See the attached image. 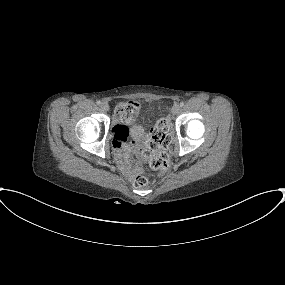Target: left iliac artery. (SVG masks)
Segmentation results:
<instances>
[{"label":"left iliac artery","instance_id":"1","mask_svg":"<svg viewBox=\"0 0 285 285\" xmlns=\"http://www.w3.org/2000/svg\"><path fill=\"white\" fill-rule=\"evenodd\" d=\"M180 106L183 107L184 106V102H180Z\"/></svg>","mask_w":285,"mask_h":285}]
</instances>
